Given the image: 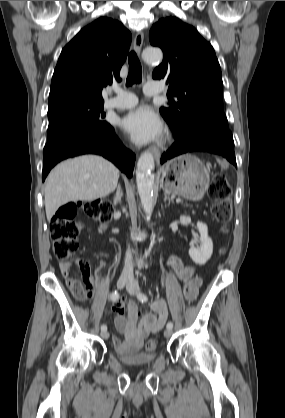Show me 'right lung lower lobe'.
I'll use <instances>...</instances> for the list:
<instances>
[{
	"mask_svg": "<svg viewBox=\"0 0 285 418\" xmlns=\"http://www.w3.org/2000/svg\"><path fill=\"white\" fill-rule=\"evenodd\" d=\"M82 154L101 155L128 177L133 175L136 156L124 147L110 126L103 130H74L47 142L43 152L42 180L58 162Z\"/></svg>",
	"mask_w": 285,
	"mask_h": 418,
	"instance_id": "98d812e1",
	"label": "right lung lower lobe"
}]
</instances>
